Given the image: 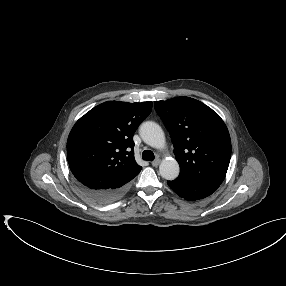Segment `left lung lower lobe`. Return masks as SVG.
I'll return each instance as SVG.
<instances>
[{
    "label": "left lung lower lobe",
    "mask_w": 286,
    "mask_h": 286,
    "mask_svg": "<svg viewBox=\"0 0 286 286\" xmlns=\"http://www.w3.org/2000/svg\"><path fill=\"white\" fill-rule=\"evenodd\" d=\"M170 188L180 197L194 201L211 195L217 188L201 182L179 176L174 181H168Z\"/></svg>",
    "instance_id": "obj_1"
}]
</instances>
